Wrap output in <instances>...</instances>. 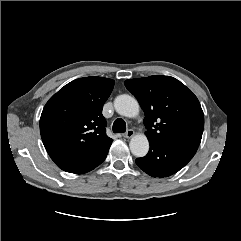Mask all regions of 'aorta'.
I'll use <instances>...</instances> for the list:
<instances>
[{
	"mask_svg": "<svg viewBox=\"0 0 241 241\" xmlns=\"http://www.w3.org/2000/svg\"><path fill=\"white\" fill-rule=\"evenodd\" d=\"M114 107L117 113L125 117H135L139 113L137 100L126 94L115 98ZM129 147L134 156L144 157L148 153L149 142L144 134H137L131 138Z\"/></svg>",
	"mask_w": 241,
	"mask_h": 241,
	"instance_id": "obj_1",
	"label": "aorta"
}]
</instances>
